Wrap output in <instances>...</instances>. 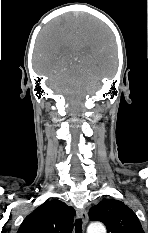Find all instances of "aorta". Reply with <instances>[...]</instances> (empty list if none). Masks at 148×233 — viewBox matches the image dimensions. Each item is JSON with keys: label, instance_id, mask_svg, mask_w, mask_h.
I'll list each match as a JSON object with an SVG mask.
<instances>
[{"label": "aorta", "instance_id": "aorta-1", "mask_svg": "<svg viewBox=\"0 0 148 233\" xmlns=\"http://www.w3.org/2000/svg\"><path fill=\"white\" fill-rule=\"evenodd\" d=\"M87 233H106V228L101 222H93L88 226Z\"/></svg>", "mask_w": 148, "mask_h": 233}]
</instances>
